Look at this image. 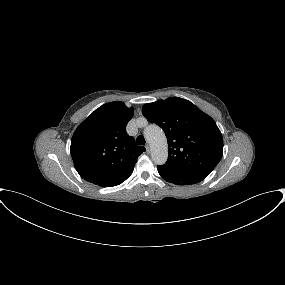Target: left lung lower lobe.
Returning a JSON list of instances; mask_svg holds the SVG:
<instances>
[{
  "instance_id": "0a47b994",
  "label": "left lung lower lobe",
  "mask_w": 285,
  "mask_h": 285,
  "mask_svg": "<svg viewBox=\"0 0 285 285\" xmlns=\"http://www.w3.org/2000/svg\"><path fill=\"white\" fill-rule=\"evenodd\" d=\"M158 172L165 181L176 184V185H191V184L198 183L204 179V178L197 177V176L177 175V174L167 173V172L161 171L160 169H158Z\"/></svg>"
}]
</instances>
